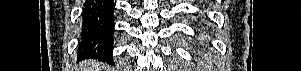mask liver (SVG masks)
Listing matches in <instances>:
<instances>
[{"mask_svg": "<svg viewBox=\"0 0 301 71\" xmlns=\"http://www.w3.org/2000/svg\"><path fill=\"white\" fill-rule=\"evenodd\" d=\"M84 71H101V64L95 61L84 62Z\"/></svg>", "mask_w": 301, "mask_h": 71, "instance_id": "liver-1", "label": "liver"}]
</instances>
